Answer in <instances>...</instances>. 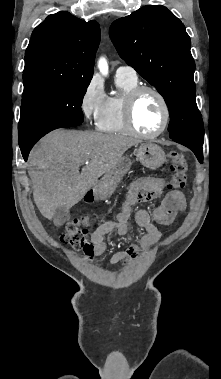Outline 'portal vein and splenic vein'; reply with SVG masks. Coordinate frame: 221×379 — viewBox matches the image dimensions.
Returning a JSON list of instances; mask_svg holds the SVG:
<instances>
[{"label":"portal vein and splenic vein","instance_id":"1","mask_svg":"<svg viewBox=\"0 0 221 379\" xmlns=\"http://www.w3.org/2000/svg\"><path fill=\"white\" fill-rule=\"evenodd\" d=\"M86 164L88 163V160H85Z\"/></svg>","mask_w":221,"mask_h":379}]
</instances>
